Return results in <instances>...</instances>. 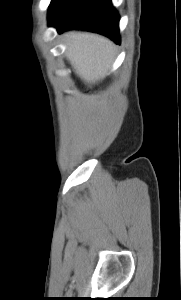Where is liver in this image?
Returning <instances> with one entry per match:
<instances>
[{"label":"liver","instance_id":"liver-1","mask_svg":"<svg viewBox=\"0 0 181 300\" xmlns=\"http://www.w3.org/2000/svg\"><path fill=\"white\" fill-rule=\"evenodd\" d=\"M65 36L66 56L85 82L97 79L113 62L115 46L110 40L86 32H70Z\"/></svg>","mask_w":181,"mask_h":300}]
</instances>
